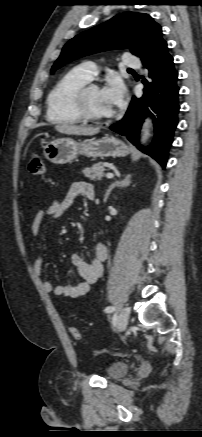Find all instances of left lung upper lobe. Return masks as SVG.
<instances>
[{"label":"left lung upper lobe","instance_id":"left-lung-upper-lobe-1","mask_svg":"<svg viewBox=\"0 0 202 437\" xmlns=\"http://www.w3.org/2000/svg\"><path fill=\"white\" fill-rule=\"evenodd\" d=\"M165 43L160 25L150 15L125 12L69 40L51 72L82 56L126 47L143 62Z\"/></svg>","mask_w":202,"mask_h":437}]
</instances>
